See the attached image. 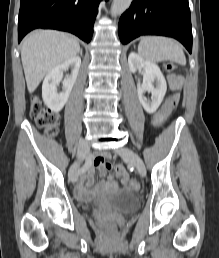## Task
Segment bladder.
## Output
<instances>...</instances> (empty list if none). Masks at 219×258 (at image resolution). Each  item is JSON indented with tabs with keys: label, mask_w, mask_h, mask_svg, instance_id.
<instances>
[{
	"label": "bladder",
	"mask_w": 219,
	"mask_h": 258,
	"mask_svg": "<svg viewBox=\"0 0 219 258\" xmlns=\"http://www.w3.org/2000/svg\"><path fill=\"white\" fill-rule=\"evenodd\" d=\"M140 206V199L126 190L112 192L104 197L96 198L87 205L93 210L99 207H110L123 214L131 213Z\"/></svg>",
	"instance_id": "obj_1"
}]
</instances>
